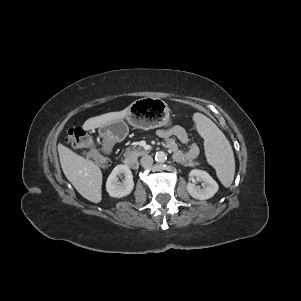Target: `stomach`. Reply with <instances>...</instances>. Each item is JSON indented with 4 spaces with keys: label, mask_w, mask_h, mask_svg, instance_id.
<instances>
[{
    "label": "stomach",
    "mask_w": 301,
    "mask_h": 301,
    "mask_svg": "<svg viewBox=\"0 0 301 301\" xmlns=\"http://www.w3.org/2000/svg\"><path fill=\"white\" fill-rule=\"evenodd\" d=\"M126 120L135 128L148 130L171 124L169 109L158 98L145 97L135 100L129 107ZM104 139L120 141L128 134V125L122 119L106 124L99 129Z\"/></svg>",
    "instance_id": "0dacf381"
}]
</instances>
